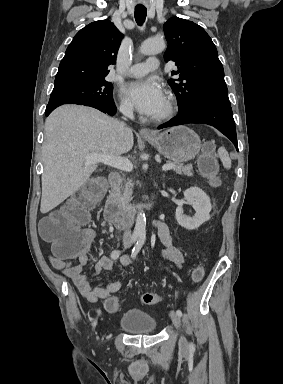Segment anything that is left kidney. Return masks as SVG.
Wrapping results in <instances>:
<instances>
[{
	"instance_id": "1",
	"label": "left kidney",
	"mask_w": 283,
	"mask_h": 384,
	"mask_svg": "<svg viewBox=\"0 0 283 384\" xmlns=\"http://www.w3.org/2000/svg\"><path fill=\"white\" fill-rule=\"evenodd\" d=\"M184 200H187V204H190L194 208L196 214L193 218L191 216H185L183 214L182 206H178L175 212V218L186 230H197L199 226H202L204 222H208L210 218V212L212 210L210 198L207 194L200 190V188H188L184 192Z\"/></svg>"
}]
</instances>
